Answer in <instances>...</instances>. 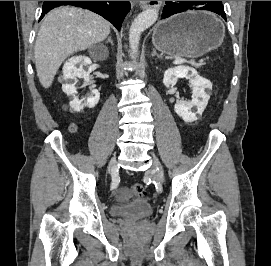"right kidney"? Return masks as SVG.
Instances as JSON below:
<instances>
[{
    "label": "right kidney",
    "instance_id": "ca27d5eb",
    "mask_svg": "<svg viewBox=\"0 0 271 266\" xmlns=\"http://www.w3.org/2000/svg\"><path fill=\"white\" fill-rule=\"evenodd\" d=\"M91 64V59L85 56H73L68 59L63 66V80L62 90L67 96H72L70 101V106L76 112H80L84 107L94 108L100 98V93L98 90H92V93L86 98L79 100L75 93L77 89L75 87L77 78H83L86 86L90 82V71L85 70L84 66H89ZM79 65V67H78Z\"/></svg>",
    "mask_w": 271,
    "mask_h": 266
}]
</instances>
